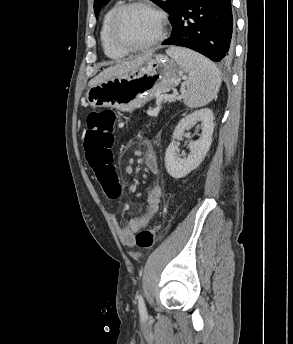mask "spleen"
I'll use <instances>...</instances> for the list:
<instances>
[{
  "label": "spleen",
  "instance_id": "1",
  "mask_svg": "<svg viewBox=\"0 0 293 344\" xmlns=\"http://www.w3.org/2000/svg\"><path fill=\"white\" fill-rule=\"evenodd\" d=\"M167 54L189 74L188 89L183 97L184 104L190 108H198L211 102L222 82L216 65L206 57L185 48L171 47Z\"/></svg>",
  "mask_w": 293,
  "mask_h": 344
}]
</instances>
